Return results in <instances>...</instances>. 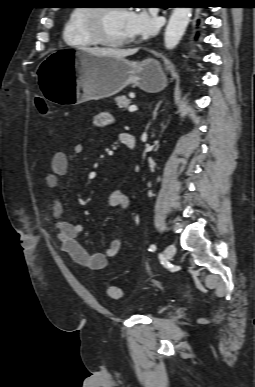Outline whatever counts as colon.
<instances>
[{"mask_svg":"<svg viewBox=\"0 0 255 387\" xmlns=\"http://www.w3.org/2000/svg\"><path fill=\"white\" fill-rule=\"evenodd\" d=\"M35 104L42 115H46L48 113L47 104L43 99L36 98ZM107 294L112 299H119L122 296V291L118 286H109L107 288Z\"/></svg>","mask_w":255,"mask_h":387,"instance_id":"obj_1","label":"colon"}]
</instances>
